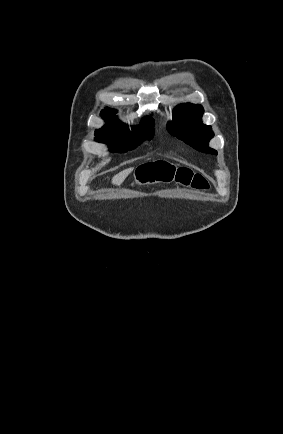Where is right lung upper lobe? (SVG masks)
<instances>
[{
	"label": "right lung upper lobe",
	"instance_id": "right-lung-upper-lobe-1",
	"mask_svg": "<svg viewBox=\"0 0 283 434\" xmlns=\"http://www.w3.org/2000/svg\"><path fill=\"white\" fill-rule=\"evenodd\" d=\"M101 116L108 123L103 127V129H99L97 131L115 130V129H128V127L125 124H123L122 122H120V121L117 120V117L115 116V111L112 110L111 108H106L105 110H103L101 112ZM150 123H154V120L152 118H150V117H146V118H144V120H143V122H142L141 125L150 124ZM133 128H135V127H133Z\"/></svg>",
	"mask_w": 283,
	"mask_h": 434
}]
</instances>
